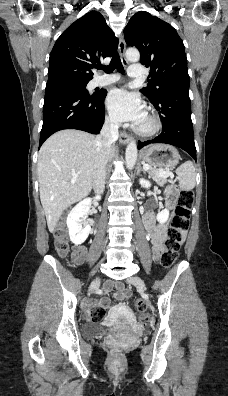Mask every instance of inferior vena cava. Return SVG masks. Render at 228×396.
Wrapping results in <instances>:
<instances>
[{"label":"inferior vena cava","instance_id":"602c4592","mask_svg":"<svg viewBox=\"0 0 228 396\" xmlns=\"http://www.w3.org/2000/svg\"><path fill=\"white\" fill-rule=\"evenodd\" d=\"M118 128L117 121L106 119L96 139L98 150L93 178V188L96 193H102L105 188L106 166L111 156L112 144L118 140Z\"/></svg>","mask_w":228,"mask_h":396}]
</instances>
